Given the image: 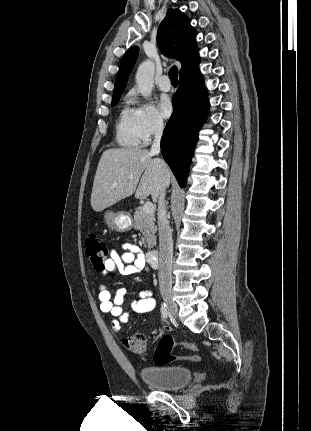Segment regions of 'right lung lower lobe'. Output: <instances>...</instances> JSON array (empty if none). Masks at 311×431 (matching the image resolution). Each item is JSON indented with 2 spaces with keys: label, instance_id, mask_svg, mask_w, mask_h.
Instances as JSON below:
<instances>
[{
  "label": "right lung lower lobe",
  "instance_id": "1",
  "mask_svg": "<svg viewBox=\"0 0 311 431\" xmlns=\"http://www.w3.org/2000/svg\"><path fill=\"white\" fill-rule=\"evenodd\" d=\"M173 114L163 132L162 156L184 187L193 149L198 140L202 116L208 110L207 90L199 67L179 80V89L172 99Z\"/></svg>",
  "mask_w": 311,
  "mask_h": 431
}]
</instances>
